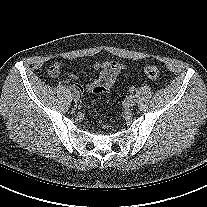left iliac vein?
Returning <instances> with one entry per match:
<instances>
[{"label": "left iliac vein", "mask_w": 207, "mask_h": 207, "mask_svg": "<svg viewBox=\"0 0 207 207\" xmlns=\"http://www.w3.org/2000/svg\"><path fill=\"white\" fill-rule=\"evenodd\" d=\"M125 104L127 107H132L135 104V96L130 95L126 98Z\"/></svg>", "instance_id": "4c4485c4"}]
</instances>
